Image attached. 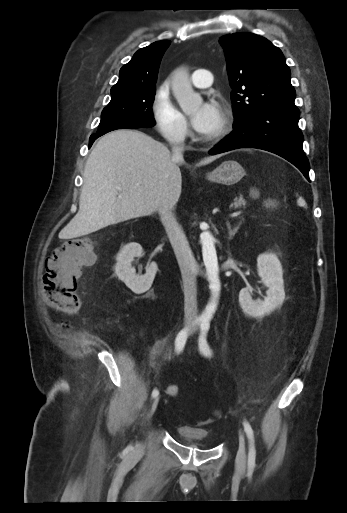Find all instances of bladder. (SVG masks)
Listing matches in <instances>:
<instances>
[{"label":"bladder","mask_w":347,"mask_h":513,"mask_svg":"<svg viewBox=\"0 0 347 513\" xmlns=\"http://www.w3.org/2000/svg\"><path fill=\"white\" fill-rule=\"evenodd\" d=\"M178 434L182 442L190 446L203 450H212L217 446L206 429L183 425L178 428Z\"/></svg>","instance_id":"obj_1"}]
</instances>
